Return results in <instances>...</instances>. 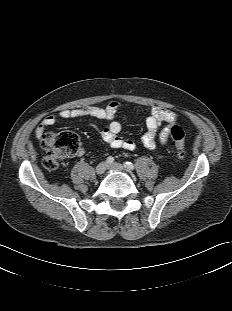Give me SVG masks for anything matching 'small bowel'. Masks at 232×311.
<instances>
[{
    "label": "small bowel",
    "instance_id": "1",
    "mask_svg": "<svg viewBox=\"0 0 232 311\" xmlns=\"http://www.w3.org/2000/svg\"><path fill=\"white\" fill-rule=\"evenodd\" d=\"M119 106L118 102L112 101L106 107L87 105L60 110L56 114L44 117L37 126L35 135L38 139H43L47 135V128L56 124L59 120L89 116L108 122L103 127L95 126V128L98 130L103 141L110 147L132 151L136 148V143L120 135L122 125L119 121L115 120ZM176 120L177 114L175 112L158 106L151 107L146 117L145 131L141 136L143 146L149 150H155L158 144H166L170 137V129L169 126L161 128V125L163 123L172 124ZM83 153V149L78 151V155H82Z\"/></svg>",
    "mask_w": 232,
    "mask_h": 311
}]
</instances>
